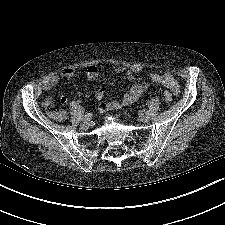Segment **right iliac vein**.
I'll list each match as a JSON object with an SVG mask.
<instances>
[{"mask_svg": "<svg viewBox=\"0 0 225 225\" xmlns=\"http://www.w3.org/2000/svg\"><path fill=\"white\" fill-rule=\"evenodd\" d=\"M80 126L82 129H88L90 126V123L88 121H83Z\"/></svg>", "mask_w": 225, "mask_h": 225, "instance_id": "right-iliac-vein-1", "label": "right iliac vein"}]
</instances>
